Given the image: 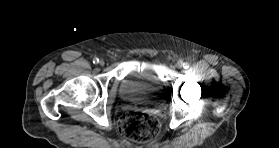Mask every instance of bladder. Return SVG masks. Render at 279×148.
<instances>
[{
    "label": "bladder",
    "mask_w": 279,
    "mask_h": 148,
    "mask_svg": "<svg viewBox=\"0 0 279 148\" xmlns=\"http://www.w3.org/2000/svg\"><path fill=\"white\" fill-rule=\"evenodd\" d=\"M163 92L164 86L154 59L136 64L124 75L119 86L122 99L145 106L161 105Z\"/></svg>",
    "instance_id": "bladder-1"
}]
</instances>
